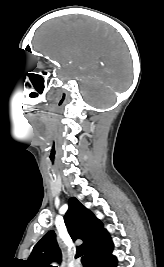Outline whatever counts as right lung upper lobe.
Instances as JSON below:
<instances>
[{
    "label": "right lung upper lobe",
    "mask_w": 164,
    "mask_h": 267,
    "mask_svg": "<svg viewBox=\"0 0 164 267\" xmlns=\"http://www.w3.org/2000/svg\"><path fill=\"white\" fill-rule=\"evenodd\" d=\"M64 221L71 238L83 240V244L77 247V252L85 254L88 262L113 248V242L103 223L74 197L69 199V209ZM53 261H61V251L55 232L49 231L34 246L28 258V265L53 267L50 265Z\"/></svg>",
    "instance_id": "obj_1"
}]
</instances>
